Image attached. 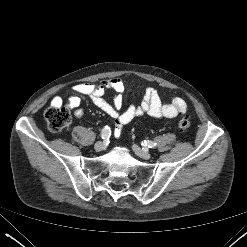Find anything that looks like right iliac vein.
<instances>
[{
	"label": "right iliac vein",
	"mask_w": 247,
	"mask_h": 247,
	"mask_svg": "<svg viewBox=\"0 0 247 247\" xmlns=\"http://www.w3.org/2000/svg\"><path fill=\"white\" fill-rule=\"evenodd\" d=\"M104 148H105V143L102 142V141L97 142V143L95 144V146H94V149H95L97 152H100V151L104 150Z\"/></svg>",
	"instance_id": "obj_1"
}]
</instances>
